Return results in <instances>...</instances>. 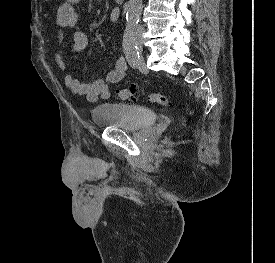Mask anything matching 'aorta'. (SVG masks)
Masks as SVG:
<instances>
[{
  "mask_svg": "<svg viewBox=\"0 0 275 263\" xmlns=\"http://www.w3.org/2000/svg\"><path fill=\"white\" fill-rule=\"evenodd\" d=\"M142 11V0H129L127 3L126 20L128 26H136Z\"/></svg>",
  "mask_w": 275,
  "mask_h": 263,
  "instance_id": "aorta-1",
  "label": "aorta"
}]
</instances>
